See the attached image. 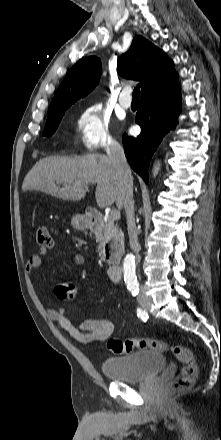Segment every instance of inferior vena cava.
Segmentation results:
<instances>
[{
  "label": "inferior vena cava",
  "instance_id": "inferior-vena-cava-1",
  "mask_svg": "<svg viewBox=\"0 0 221 440\" xmlns=\"http://www.w3.org/2000/svg\"><path fill=\"white\" fill-rule=\"evenodd\" d=\"M107 156L119 179L121 187V203L125 208L127 231L130 248L137 253L140 245L138 242V230L134 218L133 178L127 163L123 147L116 141L111 140L107 147ZM138 258L139 256L136 255Z\"/></svg>",
  "mask_w": 221,
  "mask_h": 440
}]
</instances>
